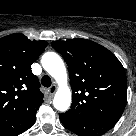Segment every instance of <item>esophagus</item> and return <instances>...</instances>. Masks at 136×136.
Instances as JSON below:
<instances>
[{
    "instance_id": "esophagus-1",
    "label": "esophagus",
    "mask_w": 136,
    "mask_h": 136,
    "mask_svg": "<svg viewBox=\"0 0 136 136\" xmlns=\"http://www.w3.org/2000/svg\"><path fill=\"white\" fill-rule=\"evenodd\" d=\"M56 89H57L56 85H52V86L48 89L49 95H50V96H53V95L55 94V92H56Z\"/></svg>"
}]
</instances>
